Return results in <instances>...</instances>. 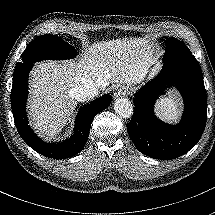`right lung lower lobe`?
<instances>
[{"instance_id":"right-lung-lower-lobe-1","label":"right lung lower lobe","mask_w":215,"mask_h":215,"mask_svg":"<svg viewBox=\"0 0 215 215\" xmlns=\"http://www.w3.org/2000/svg\"><path fill=\"white\" fill-rule=\"evenodd\" d=\"M32 66L33 64H21L13 73L11 108L17 131L28 146L47 158L65 159L75 156L86 144L93 118L109 106L111 96L104 95L80 109L75 120L74 133L70 139L60 143H46L30 128L26 116L28 75Z\"/></svg>"}]
</instances>
